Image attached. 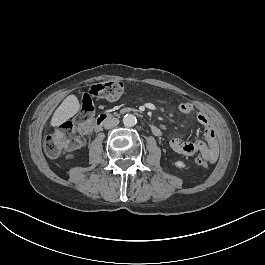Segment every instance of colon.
<instances>
[{"mask_svg": "<svg viewBox=\"0 0 265 265\" xmlns=\"http://www.w3.org/2000/svg\"><path fill=\"white\" fill-rule=\"evenodd\" d=\"M125 87L122 81H108L95 83L82 101V109L74 117L73 122L67 121L57 128L52 129L44 138V149L48 156L56 157L63 153V147L76 145L80 135L75 130V125L84 126L91 121L90 112L95 110L93 98H103L111 101L122 97ZM195 162L198 166L205 167L211 163V159L205 156H197Z\"/></svg>", "mask_w": 265, "mask_h": 265, "instance_id": "obj_1", "label": "colon"}]
</instances>
